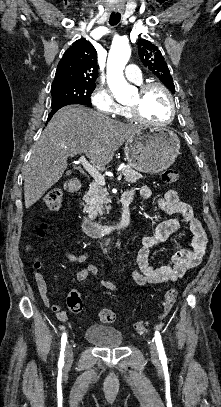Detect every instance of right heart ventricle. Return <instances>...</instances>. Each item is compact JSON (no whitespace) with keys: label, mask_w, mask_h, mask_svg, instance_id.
I'll list each match as a JSON object with an SVG mask.
<instances>
[{"label":"right heart ventricle","mask_w":221,"mask_h":407,"mask_svg":"<svg viewBox=\"0 0 221 407\" xmlns=\"http://www.w3.org/2000/svg\"><path fill=\"white\" fill-rule=\"evenodd\" d=\"M118 114L124 118L130 119L131 116L126 107H120Z\"/></svg>","instance_id":"right-heart-ventricle-1"}]
</instances>
